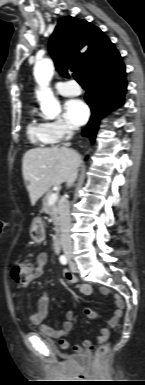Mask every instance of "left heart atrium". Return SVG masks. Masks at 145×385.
<instances>
[{
  "instance_id": "39dd6f15",
  "label": "left heart atrium",
  "mask_w": 145,
  "mask_h": 385,
  "mask_svg": "<svg viewBox=\"0 0 145 385\" xmlns=\"http://www.w3.org/2000/svg\"><path fill=\"white\" fill-rule=\"evenodd\" d=\"M65 117L74 125H83L89 117V109L82 100L70 99L65 104Z\"/></svg>"
}]
</instances>
